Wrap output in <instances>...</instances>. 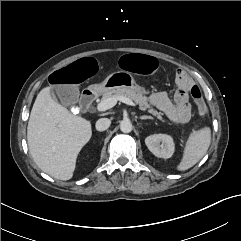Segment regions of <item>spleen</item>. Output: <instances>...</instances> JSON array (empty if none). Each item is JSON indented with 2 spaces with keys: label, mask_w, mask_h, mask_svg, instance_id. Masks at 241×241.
Masks as SVG:
<instances>
[{
  "label": "spleen",
  "mask_w": 241,
  "mask_h": 241,
  "mask_svg": "<svg viewBox=\"0 0 241 241\" xmlns=\"http://www.w3.org/2000/svg\"><path fill=\"white\" fill-rule=\"evenodd\" d=\"M211 143V129L204 127L190 133L183 157L177 166L178 171H186L199 162L206 154Z\"/></svg>",
  "instance_id": "1"
}]
</instances>
